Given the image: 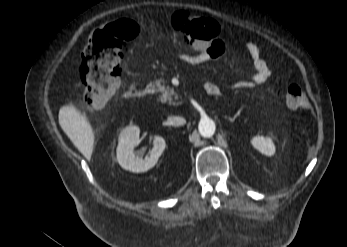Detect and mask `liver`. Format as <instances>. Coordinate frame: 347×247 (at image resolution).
<instances>
[{"mask_svg": "<svg viewBox=\"0 0 347 247\" xmlns=\"http://www.w3.org/2000/svg\"><path fill=\"white\" fill-rule=\"evenodd\" d=\"M59 121L62 129L70 137L74 145L87 160H90L95 135L85 115H81L72 104H69L60 109Z\"/></svg>", "mask_w": 347, "mask_h": 247, "instance_id": "6515ba94", "label": "liver"}]
</instances>
